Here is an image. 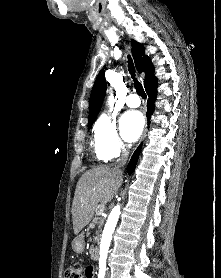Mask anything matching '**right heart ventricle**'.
<instances>
[{
	"label": "right heart ventricle",
	"instance_id": "1",
	"mask_svg": "<svg viewBox=\"0 0 221 278\" xmlns=\"http://www.w3.org/2000/svg\"><path fill=\"white\" fill-rule=\"evenodd\" d=\"M95 156L99 162H105L108 160L107 157L102 152H100L96 146H95Z\"/></svg>",
	"mask_w": 221,
	"mask_h": 278
}]
</instances>
